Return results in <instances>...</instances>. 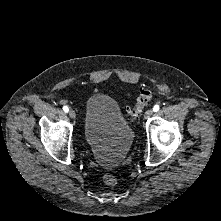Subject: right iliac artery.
I'll return each instance as SVG.
<instances>
[{
    "label": "right iliac artery",
    "instance_id": "obj_1",
    "mask_svg": "<svg viewBox=\"0 0 221 221\" xmlns=\"http://www.w3.org/2000/svg\"><path fill=\"white\" fill-rule=\"evenodd\" d=\"M63 110L67 113L69 111V108L67 106H64Z\"/></svg>",
    "mask_w": 221,
    "mask_h": 221
}]
</instances>
